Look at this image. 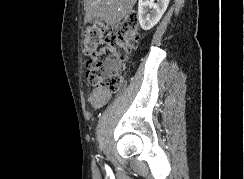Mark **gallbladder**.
<instances>
[{
    "instance_id": "1",
    "label": "gallbladder",
    "mask_w": 244,
    "mask_h": 179,
    "mask_svg": "<svg viewBox=\"0 0 244 179\" xmlns=\"http://www.w3.org/2000/svg\"><path fill=\"white\" fill-rule=\"evenodd\" d=\"M90 24H96V22H99V18H92V20H89Z\"/></svg>"
}]
</instances>
